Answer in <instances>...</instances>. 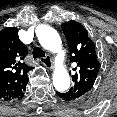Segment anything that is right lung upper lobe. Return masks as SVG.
<instances>
[{"mask_svg":"<svg viewBox=\"0 0 117 117\" xmlns=\"http://www.w3.org/2000/svg\"><path fill=\"white\" fill-rule=\"evenodd\" d=\"M26 55L27 48L20 41L17 28L0 31V99H17L25 89L31 69L23 62Z\"/></svg>","mask_w":117,"mask_h":117,"instance_id":"right-lung-upper-lobe-1","label":"right lung upper lobe"}]
</instances>
